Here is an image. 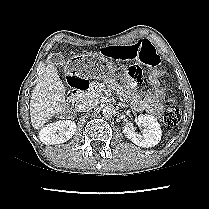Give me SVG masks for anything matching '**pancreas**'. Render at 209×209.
I'll use <instances>...</instances> for the list:
<instances>
[{"label":"pancreas","instance_id":"obj_1","mask_svg":"<svg viewBox=\"0 0 209 209\" xmlns=\"http://www.w3.org/2000/svg\"><path fill=\"white\" fill-rule=\"evenodd\" d=\"M112 84H114V81H110ZM103 83H100L98 81H94L91 83V86L89 90L85 93V97H98L102 94L101 86Z\"/></svg>","mask_w":209,"mask_h":209}]
</instances>
